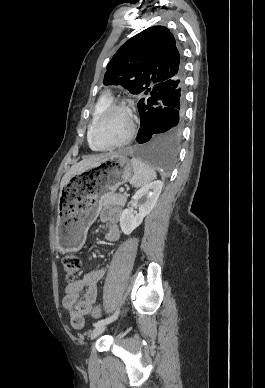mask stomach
<instances>
[{
  "label": "stomach",
  "mask_w": 265,
  "mask_h": 388,
  "mask_svg": "<svg viewBox=\"0 0 265 388\" xmlns=\"http://www.w3.org/2000/svg\"><path fill=\"white\" fill-rule=\"evenodd\" d=\"M133 166L124 153L110 154L72 176L61 189L56 224L57 248L78 251L101 209V198L114 193L132 177Z\"/></svg>",
  "instance_id": "stomach-1"
}]
</instances>
